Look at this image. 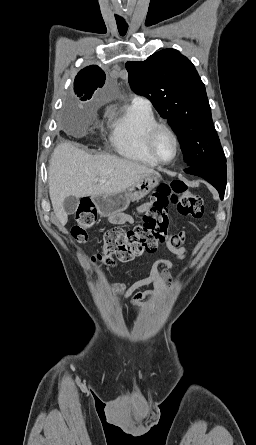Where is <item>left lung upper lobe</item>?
Instances as JSON below:
<instances>
[{"mask_svg": "<svg viewBox=\"0 0 256 445\" xmlns=\"http://www.w3.org/2000/svg\"><path fill=\"white\" fill-rule=\"evenodd\" d=\"M131 89L147 97L178 136L184 161L194 166L225 161L205 86L194 65L175 49L127 62Z\"/></svg>", "mask_w": 256, "mask_h": 445, "instance_id": "5c2ea615", "label": "left lung upper lobe"}]
</instances>
